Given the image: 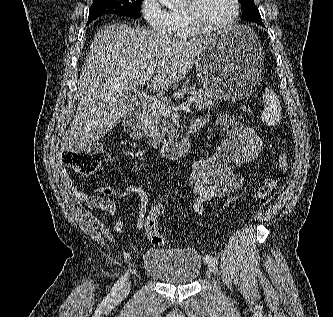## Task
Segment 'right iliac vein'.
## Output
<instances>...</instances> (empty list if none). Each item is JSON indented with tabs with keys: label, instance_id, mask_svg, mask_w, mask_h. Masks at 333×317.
Returning a JSON list of instances; mask_svg holds the SVG:
<instances>
[{
	"label": "right iliac vein",
	"instance_id": "1",
	"mask_svg": "<svg viewBox=\"0 0 333 317\" xmlns=\"http://www.w3.org/2000/svg\"><path fill=\"white\" fill-rule=\"evenodd\" d=\"M130 290H131V283L128 282L120 289V291L117 294V298L122 299L126 297L130 292Z\"/></svg>",
	"mask_w": 333,
	"mask_h": 317
}]
</instances>
